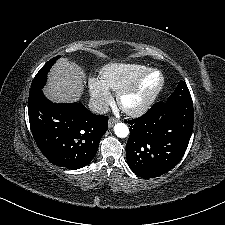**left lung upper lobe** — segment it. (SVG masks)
<instances>
[{
  "label": "left lung upper lobe",
  "mask_w": 225,
  "mask_h": 225,
  "mask_svg": "<svg viewBox=\"0 0 225 225\" xmlns=\"http://www.w3.org/2000/svg\"><path fill=\"white\" fill-rule=\"evenodd\" d=\"M171 102H192L190 92L184 81H180L175 91L169 96L167 103Z\"/></svg>",
  "instance_id": "1"
}]
</instances>
